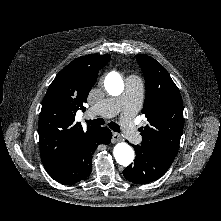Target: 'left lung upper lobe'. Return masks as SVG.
<instances>
[{
  "label": "left lung upper lobe",
  "mask_w": 221,
  "mask_h": 221,
  "mask_svg": "<svg viewBox=\"0 0 221 221\" xmlns=\"http://www.w3.org/2000/svg\"><path fill=\"white\" fill-rule=\"evenodd\" d=\"M145 76L146 96L142 113L149 125L140 128L141 147L147 152L177 153L183 132V101L179 89L154 58L138 54Z\"/></svg>",
  "instance_id": "5c2ea615"
}]
</instances>
